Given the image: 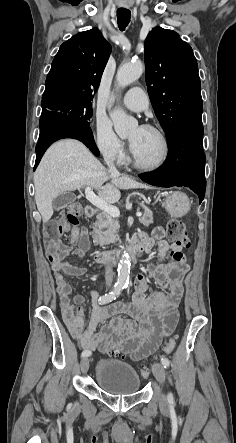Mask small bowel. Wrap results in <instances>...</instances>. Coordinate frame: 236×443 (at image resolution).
Wrapping results in <instances>:
<instances>
[{"label":"small bowel","instance_id":"c3829d8e","mask_svg":"<svg viewBox=\"0 0 236 443\" xmlns=\"http://www.w3.org/2000/svg\"><path fill=\"white\" fill-rule=\"evenodd\" d=\"M155 242L159 248L158 262L149 268L148 273L137 276L132 302L100 306L96 303L98 290H91L94 304L87 324L82 307L86 299L82 295L71 296L72 286L65 279L66 275L83 276L86 268L49 256L63 320L71 336L82 348L91 352L109 344L125 346L134 359L140 360L152 354L162 340L174 332L178 322L177 308L183 293L181 280L189 271V265L185 261L182 247L175 243L169 245L161 227L153 230L152 237L145 233L137 235L132 241V247L151 251ZM61 246L65 254L84 258L90 248L87 229L72 230L70 245ZM168 253L172 262H164ZM149 278H155L168 292L148 293ZM120 313H128L133 321L122 318ZM107 321L109 324L98 331Z\"/></svg>","mask_w":236,"mask_h":443}]
</instances>
